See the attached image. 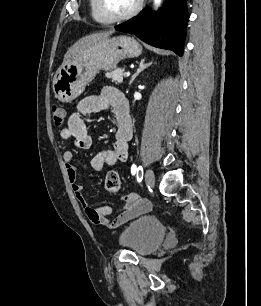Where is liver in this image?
<instances>
[{
    "label": "liver",
    "mask_w": 261,
    "mask_h": 306,
    "mask_svg": "<svg viewBox=\"0 0 261 306\" xmlns=\"http://www.w3.org/2000/svg\"><path fill=\"white\" fill-rule=\"evenodd\" d=\"M114 33V30L104 31V32H98L93 33L88 36H85L81 39H79L76 43H74L73 46H71L66 54L64 55L63 64L75 57L78 53H80L83 49L86 47L102 40L107 37H109L111 34Z\"/></svg>",
    "instance_id": "6515ba94"
}]
</instances>
